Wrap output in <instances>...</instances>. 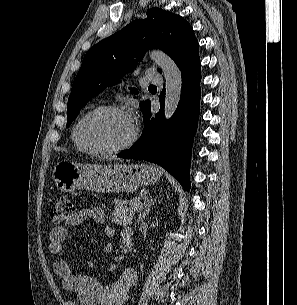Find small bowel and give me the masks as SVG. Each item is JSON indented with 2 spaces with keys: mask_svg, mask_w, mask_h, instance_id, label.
<instances>
[{
  "mask_svg": "<svg viewBox=\"0 0 297 305\" xmlns=\"http://www.w3.org/2000/svg\"><path fill=\"white\" fill-rule=\"evenodd\" d=\"M86 221L105 225L106 213L98 207L81 209L71 220L52 227L49 232L48 249L55 256L54 271L65 290L74 294L68 305H125L129 291L137 282V273L133 268L124 269L115 281L102 286L93 276L76 273L65 257L64 243L67 239L68 228L79 226ZM107 234L113 235L114 229L109 227ZM112 251L111 243L103 246L104 253L110 254Z\"/></svg>",
  "mask_w": 297,
  "mask_h": 305,
  "instance_id": "small-bowel-1",
  "label": "small bowel"
}]
</instances>
